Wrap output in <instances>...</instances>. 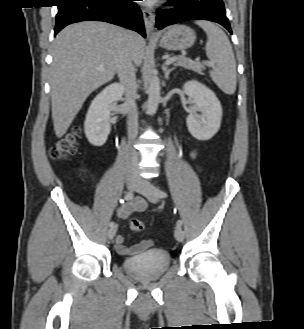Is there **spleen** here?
Masks as SVG:
<instances>
[{"mask_svg": "<svg viewBox=\"0 0 304 329\" xmlns=\"http://www.w3.org/2000/svg\"><path fill=\"white\" fill-rule=\"evenodd\" d=\"M207 34L206 54L212 70L209 74L214 83L226 94L236 91V61L226 34L210 21H196Z\"/></svg>", "mask_w": 304, "mask_h": 329, "instance_id": "1", "label": "spleen"}]
</instances>
